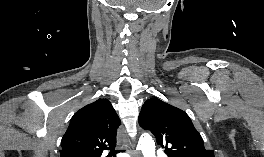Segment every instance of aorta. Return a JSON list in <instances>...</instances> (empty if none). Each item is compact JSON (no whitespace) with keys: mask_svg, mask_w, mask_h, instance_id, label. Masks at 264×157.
<instances>
[{"mask_svg":"<svg viewBox=\"0 0 264 157\" xmlns=\"http://www.w3.org/2000/svg\"><path fill=\"white\" fill-rule=\"evenodd\" d=\"M138 147L142 151L144 157H155V146L150 136H142L139 140Z\"/></svg>","mask_w":264,"mask_h":157,"instance_id":"1","label":"aorta"}]
</instances>
